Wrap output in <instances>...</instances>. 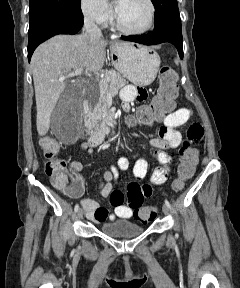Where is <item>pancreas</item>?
Instances as JSON below:
<instances>
[{"mask_svg": "<svg viewBox=\"0 0 240 288\" xmlns=\"http://www.w3.org/2000/svg\"><path fill=\"white\" fill-rule=\"evenodd\" d=\"M128 82L115 70L105 72L104 78L99 82H93L91 88L98 93V101L93 109L86 114V118L104 113L107 109V96L109 92L122 88Z\"/></svg>", "mask_w": 240, "mask_h": 288, "instance_id": "1", "label": "pancreas"}]
</instances>
